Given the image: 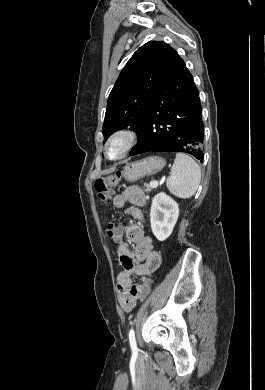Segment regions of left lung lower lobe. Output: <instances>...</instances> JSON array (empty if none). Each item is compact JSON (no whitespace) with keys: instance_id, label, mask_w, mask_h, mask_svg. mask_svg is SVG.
Returning a JSON list of instances; mask_svg holds the SVG:
<instances>
[{"instance_id":"0a47b994","label":"left lung lower lobe","mask_w":265,"mask_h":390,"mask_svg":"<svg viewBox=\"0 0 265 390\" xmlns=\"http://www.w3.org/2000/svg\"><path fill=\"white\" fill-rule=\"evenodd\" d=\"M203 133L199 92L180 58L151 101L139 141L130 155L184 152L202 162Z\"/></svg>"}]
</instances>
